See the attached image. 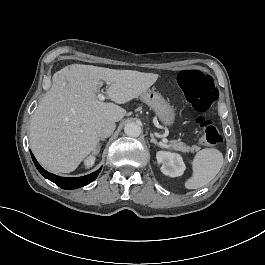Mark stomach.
<instances>
[{
    "label": "stomach",
    "instance_id": "obj_1",
    "mask_svg": "<svg viewBox=\"0 0 265 265\" xmlns=\"http://www.w3.org/2000/svg\"><path fill=\"white\" fill-rule=\"evenodd\" d=\"M140 99L155 111L163 124H173L175 119L174 110L160 93L147 89L140 94Z\"/></svg>",
    "mask_w": 265,
    "mask_h": 265
}]
</instances>
